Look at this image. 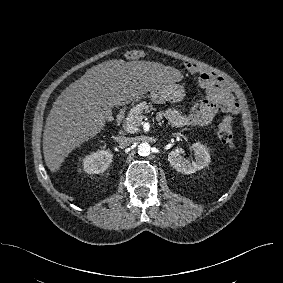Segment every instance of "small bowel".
<instances>
[{
    "label": "small bowel",
    "instance_id": "small-bowel-1",
    "mask_svg": "<svg viewBox=\"0 0 283 283\" xmlns=\"http://www.w3.org/2000/svg\"><path fill=\"white\" fill-rule=\"evenodd\" d=\"M190 72L198 75L201 88L206 97L197 101L186 113L175 109H167L162 113L172 126L177 128L188 126H204L225 111L236 113L239 104L228 89L227 83L215 73L195 64H187Z\"/></svg>",
    "mask_w": 283,
    "mask_h": 283
}]
</instances>
